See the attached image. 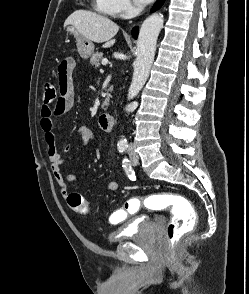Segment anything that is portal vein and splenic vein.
<instances>
[{"label": "portal vein and splenic vein", "instance_id": "portal-vein-and-splenic-vein-1", "mask_svg": "<svg viewBox=\"0 0 249 294\" xmlns=\"http://www.w3.org/2000/svg\"><path fill=\"white\" fill-rule=\"evenodd\" d=\"M107 63H108V60H107V59H103V60H102V64H103V65H106Z\"/></svg>", "mask_w": 249, "mask_h": 294}]
</instances>
